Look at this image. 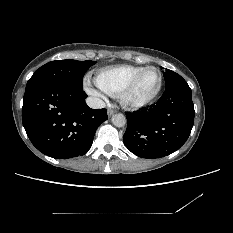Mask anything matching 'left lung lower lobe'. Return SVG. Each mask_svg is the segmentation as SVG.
<instances>
[{
	"label": "left lung lower lobe",
	"instance_id": "left-lung-lower-lobe-1",
	"mask_svg": "<svg viewBox=\"0 0 233 233\" xmlns=\"http://www.w3.org/2000/svg\"><path fill=\"white\" fill-rule=\"evenodd\" d=\"M192 92L185 80L167 87L150 108L127 113L125 146L141 158H160L178 150L194 123Z\"/></svg>",
	"mask_w": 233,
	"mask_h": 233
}]
</instances>
